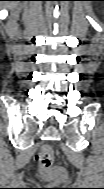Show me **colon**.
<instances>
[{
  "label": "colon",
  "mask_w": 104,
  "mask_h": 189,
  "mask_svg": "<svg viewBox=\"0 0 104 189\" xmlns=\"http://www.w3.org/2000/svg\"><path fill=\"white\" fill-rule=\"evenodd\" d=\"M39 169L43 178L48 180H56L60 178L61 172L53 167L54 152L51 147L44 146L39 152Z\"/></svg>",
  "instance_id": "obj_1"
}]
</instances>
